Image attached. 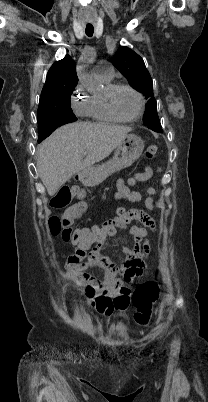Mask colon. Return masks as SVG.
Masks as SVG:
<instances>
[{"instance_id": "colon-1", "label": "colon", "mask_w": 208, "mask_h": 402, "mask_svg": "<svg viewBox=\"0 0 208 402\" xmlns=\"http://www.w3.org/2000/svg\"><path fill=\"white\" fill-rule=\"evenodd\" d=\"M158 147L155 144H149L145 149V157L149 161L156 159ZM128 183L132 184L133 179L129 178ZM78 189V187H76ZM121 196V192L117 193ZM77 212H82V207H77ZM126 213L121 210L118 216L105 220L91 229L81 231H72L75 220H80V215L76 214L73 207L68 208L61 216L49 219L50 232L54 237H60L65 242H73L75 247L73 253L67 254L68 263H81L85 258L86 249L100 240L105 231H110L112 224L118 226L125 220ZM104 224H109V229H104ZM88 258V257H87ZM159 298V285L155 280H148L138 285L132 296V303L136 307L135 322L140 326H146L151 318L152 304ZM92 307L99 313L110 314L114 312L117 301L110 295L94 297L91 302Z\"/></svg>"}]
</instances>
